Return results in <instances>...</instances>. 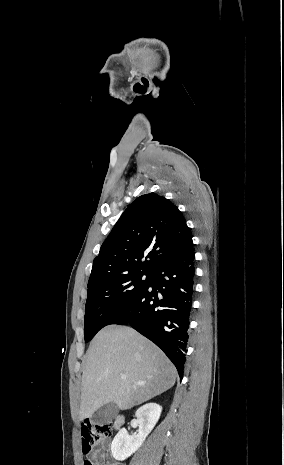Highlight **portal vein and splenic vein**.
<instances>
[{
	"instance_id": "1",
	"label": "portal vein and splenic vein",
	"mask_w": 284,
	"mask_h": 465,
	"mask_svg": "<svg viewBox=\"0 0 284 465\" xmlns=\"http://www.w3.org/2000/svg\"><path fill=\"white\" fill-rule=\"evenodd\" d=\"M121 379H126V375H121Z\"/></svg>"
}]
</instances>
